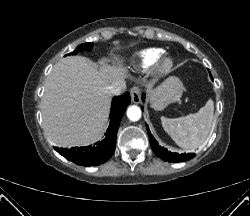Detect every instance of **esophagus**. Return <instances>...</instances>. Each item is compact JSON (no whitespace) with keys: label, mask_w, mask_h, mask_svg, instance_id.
I'll use <instances>...</instances> for the list:
<instances>
[{"label":"esophagus","mask_w":250,"mask_h":216,"mask_svg":"<svg viewBox=\"0 0 250 216\" xmlns=\"http://www.w3.org/2000/svg\"><path fill=\"white\" fill-rule=\"evenodd\" d=\"M130 94H131V100L133 103H139L141 100V91L139 89V87H132L130 89Z\"/></svg>","instance_id":"obj_1"}]
</instances>
